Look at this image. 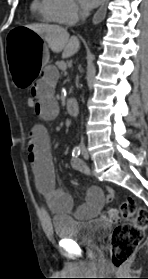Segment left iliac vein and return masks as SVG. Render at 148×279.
<instances>
[{
    "label": "left iliac vein",
    "instance_id": "obj_1",
    "mask_svg": "<svg viewBox=\"0 0 148 279\" xmlns=\"http://www.w3.org/2000/svg\"><path fill=\"white\" fill-rule=\"evenodd\" d=\"M82 156L85 159H89V153H88V151L85 148L82 149Z\"/></svg>",
    "mask_w": 148,
    "mask_h": 279
}]
</instances>
